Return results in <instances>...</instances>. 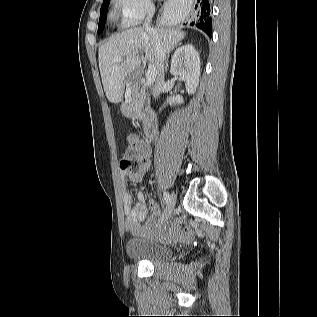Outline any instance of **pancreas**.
<instances>
[{"label":"pancreas","mask_w":317,"mask_h":317,"mask_svg":"<svg viewBox=\"0 0 317 317\" xmlns=\"http://www.w3.org/2000/svg\"><path fill=\"white\" fill-rule=\"evenodd\" d=\"M144 102H145V88H141L138 91L132 92V98H131V113L134 117L138 119H143V108H144Z\"/></svg>","instance_id":"cf45deb5"}]
</instances>
